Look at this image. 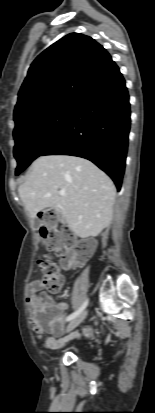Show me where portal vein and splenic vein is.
I'll return each instance as SVG.
<instances>
[{
	"instance_id": "1",
	"label": "portal vein and splenic vein",
	"mask_w": 155,
	"mask_h": 413,
	"mask_svg": "<svg viewBox=\"0 0 155 413\" xmlns=\"http://www.w3.org/2000/svg\"><path fill=\"white\" fill-rule=\"evenodd\" d=\"M59 194H60L61 196H63V195H65V191H64V190H60V191H59Z\"/></svg>"
}]
</instances>
